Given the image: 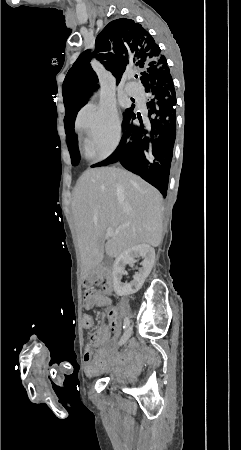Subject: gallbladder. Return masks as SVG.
<instances>
[{"label":"gallbladder","instance_id":"gallbladder-1","mask_svg":"<svg viewBox=\"0 0 241 450\" xmlns=\"http://www.w3.org/2000/svg\"><path fill=\"white\" fill-rule=\"evenodd\" d=\"M111 262L108 258V256H104L103 260H102V266H110Z\"/></svg>","mask_w":241,"mask_h":450}]
</instances>
